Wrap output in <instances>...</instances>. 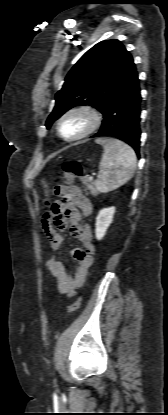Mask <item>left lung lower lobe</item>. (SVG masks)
<instances>
[{"instance_id": "0a47b994", "label": "left lung lower lobe", "mask_w": 168, "mask_h": 415, "mask_svg": "<svg viewBox=\"0 0 168 415\" xmlns=\"http://www.w3.org/2000/svg\"><path fill=\"white\" fill-rule=\"evenodd\" d=\"M141 95L137 72L110 100L100 130L92 137L112 136L129 144L139 156Z\"/></svg>"}]
</instances>
